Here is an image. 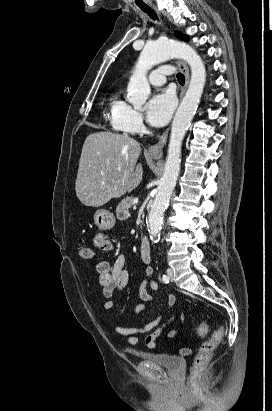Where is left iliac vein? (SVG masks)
I'll list each match as a JSON object with an SVG mask.
<instances>
[{
	"label": "left iliac vein",
	"mask_w": 272,
	"mask_h": 411,
	"mask_svg": "<svg viewBox=\"0 0 272 411\" xmlns=\"http://www.w3.org/2000/svg\"><path fill=\"white\" fill-rule=\"evenodd\" d=\"M167 275H168L169 279H170L171 281H173V279H174V271H173V269L168 268V269H167Z\"/></svg>",
	"instance_id": "1"
}]
</instances>
